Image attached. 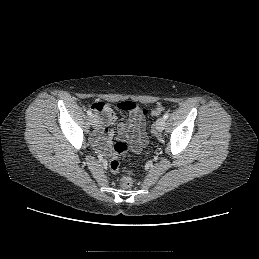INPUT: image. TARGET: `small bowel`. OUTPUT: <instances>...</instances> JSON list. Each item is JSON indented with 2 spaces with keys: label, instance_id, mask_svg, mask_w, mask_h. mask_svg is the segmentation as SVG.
<instances>
[{
  "label": "small bowel",
  "instance_id": "obj_1",
  "mask_svg": "<svg viewBox=\"0 0 259 259\" xmlns=\"http://www.w3.org/2000/svg\"><path fill=\"white\" fill-rule=\"evenodd\" d=\"M101 109H94L98 113L99 125L93 136V142L97 149L106 151L113 139V131L110 129L116 121V116L112 108L102 103ZM128 118L118 126V136L121 140L129 143L134 152H139L147 143L145 132L144 111L136 107L129 110Z\"/></svg>",
  "mask_w": 259,
  "mask_h": 259
}]
</instances>
